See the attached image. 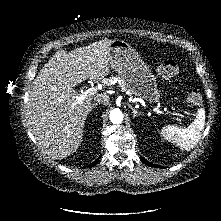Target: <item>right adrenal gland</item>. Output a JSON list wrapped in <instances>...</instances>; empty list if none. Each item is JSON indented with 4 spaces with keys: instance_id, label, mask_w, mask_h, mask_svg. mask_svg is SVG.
<instances>
[{
    "instance_id": "1",
    "label": "right adrenal gland",
    "mask_w": 221,
    "mask_h": 221,
    "mask_svg": "<svg viewBox=\"0 0 221 221\" xmlns=\"http://www.w3.org/2000/svg\"><path fill=\"white\" fill-rule=\"evenodd\" d=\"M96 106H97V103L92 104V106H90L89 111L91 112V111H92V109H93L94 107H96Z\"/></svg>"
}]
</instances>
